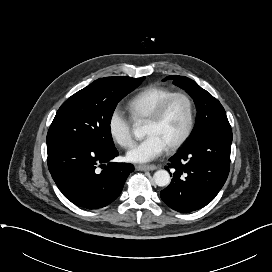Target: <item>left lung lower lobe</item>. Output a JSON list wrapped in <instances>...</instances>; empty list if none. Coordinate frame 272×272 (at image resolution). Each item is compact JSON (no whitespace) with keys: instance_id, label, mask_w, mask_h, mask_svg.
I'll return each instance as SVG.
<instances>
[{"instance_id":"obj_1","label":"left lung lower lobe","mask_w":272,"mask_h":272,"mask_svg":"<svg viewBox=\"0 0 272 272\" xmlns=\"http://www.w3.org/2000/svg\"><path fill=\"white\" fill-rule=\"evenodd\" d=\"M231 143L232 131L203 137L182 148L170 159L169 168L175 173L170 185L160 192L162 200L183 213L210 203L228 177Z\"/></svg>"}]
</instances>
